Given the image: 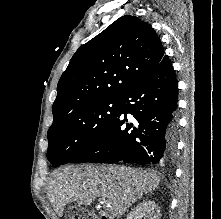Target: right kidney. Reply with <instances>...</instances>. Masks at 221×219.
<instances>
[{"mask_svg":"<svg viewBox=\"0 0 221 219\" xmlns=\"http://www.w3.org/2000/svg\"><path fill=\"white\" fill-rule=\"evenodd\" d=\"M126 219H160V208L154 201L144 200L127 215Z\"/></svg>","mask_w":221,"mask_h":219,"instance_id":"ca27d5eb","label":"right kidney"}]
</instances>
